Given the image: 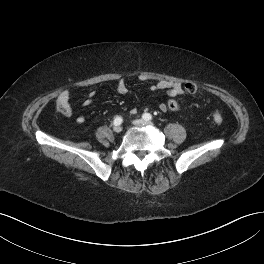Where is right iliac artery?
I'll use <instances>...</instances> for the list:
<instances>
[{
	"mask_svg": "<svg viewBox=\"0 0 264 264\" xmlns=\"http://www.w3.org/2000/svg\"><path fill=\"white\" fill-rule=\"evenodd\" d=\"M122 118L121 117H116L115 119H114V125L115 126H118V125H120L121 123H122Z\"/></svg>",
	"mask_w": 264,
	"mask_h": 264,
	"instance_id": "right-iliac-artery-1",
	"label": "right iliac artery"
}]
</instances>
